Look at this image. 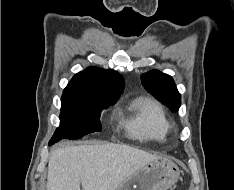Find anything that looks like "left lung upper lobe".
Listing matches in <instances>:
<instances>
[{
  "mask_svg": "<svg viewBox=\"0 0 234 190\" xmlns=\"http://www.w3.org/2000/svg\"><path fill=\"white\" fill-rule=\"evenodd\" d=\"M144 88L173 112L181 105V96L171 76L158 70L149 71L141 76Z\"/></svg>",
  "mask_w": 234,
  "mask_h": 190,
  "instance_id": "left-lung-upper-lobe-1",
  "label": "left lung upper lobe"
}]
</instances>
